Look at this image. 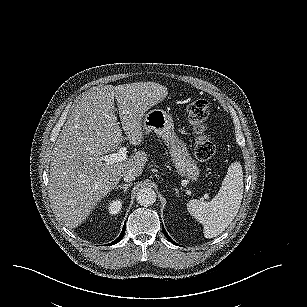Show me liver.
Returning a JSON list of instances; mask_svg holds the SVG:
<instances>
[{"mask_svg":"<svg viewBox=\"0 0 307 307\" xmlns=\"http://www.w3.org/2000/svg\"><path fill=\"white\" fill-rule=\"evenodd\" d=\"M167 94L165 86L150 81L92 87L82 94L54 145L50 163L51 205L66 227L81 225L126 171L131 170L136 177L142 174L148 161L144 151L112 164L102 158L123 140L141 145L144 113Z\"/></svg>","mask_w":307,"mask_h":307,"instance_id":"6515ba94","label":"liver"}]
</instances>
